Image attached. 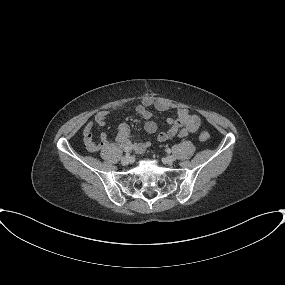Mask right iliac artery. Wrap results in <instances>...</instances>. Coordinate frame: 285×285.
<instances>
[{
  "mask_svg": "<svg viewBox=\"0 0 285 285\" xmlns=\"http://www.w3.org/2000/svg\"><path fill=\"white\" fill-rule=\"evenodd\" d=\"M124 152L126 153L127 156L130 155V150L129 149L125 148Z\"/></svg>",
  "mask_w": 285,
  "mask_h": 285,
  "instance_id": "right-iliac-artery-1",
  "label": "right iliac artery"
}]
</instances>
